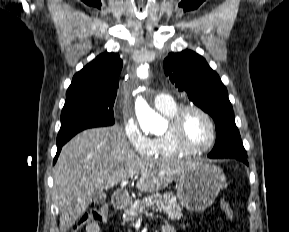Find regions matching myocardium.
I'll return each instance as SVG.
<instances>
[{
	"label": "myocardium",
	"mask_w": 289,
	"mask_h": 232,
	"mask_svg": "<svg viewBox=\"0 0 289 232\" xmlns=\"http://www.w3.org/2000/svg\"><path fill=\"white\" fill-rule=\"evenodd\" d=\"M191 111L197 112L200 115H202L210 127V132H211L210 138L208 142L202 146H197V147L192 146L188 144L184 138L183 120L186 114ZM168 133L171 139L173 140V142L175 143V145L179 149L189 154H197V153L206 151L214 144L216 137H217L216 126L212 117L209 115L207 111H205L203 108L197 105H185V106L179 107L177 111L175 112V114L173 115V117L169 120Z\"/></svg>",
	"instance_id": "obj_1"
}]
</instances>
